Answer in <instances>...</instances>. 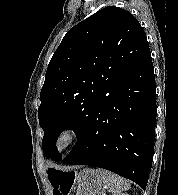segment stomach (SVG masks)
Instances as JSON below:
<instances>
[{
    "label": "stomach",
    "mask_w": 178,
    "mask_h": 195,
    "mask_svg": "<svg viewBox=\"0 0 178 195\" xmlns=\"http://www.w3.org/2000/svg\"><path fill=\"white\" fill-rule=\"evenodd\" d=\"M55 171L61 173L59 170ZM74 182L76 184L75 195H98L104 187V182L97 171L90 168H85L77 173Z\"/></svg>",
    "instance_id": "stomach-1"
}]
</instances>
